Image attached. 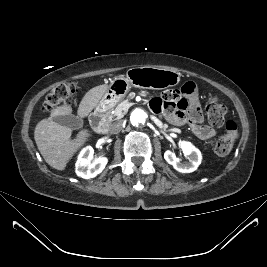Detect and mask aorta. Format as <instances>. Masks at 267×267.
<instances>
[{"label": "aorta", "instance_id": "1", "mask_svg": "<svg viewBox=\"0 0 267 267\" xmlns=\"http://www.w3.org/2000/svg\"><path fill=\"white\" fill-rule=\"evenodd\" d=\"M130 120L134 126L140 127L147 123L148 115L144 110L137 108L131 113Z\"/></svg>", "mask_w": 267, "mask_h": 267}]
</instances>
